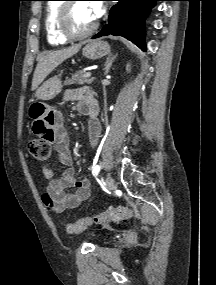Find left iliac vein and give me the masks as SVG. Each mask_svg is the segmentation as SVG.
<instances>
[{"label": "left iliac vein", "mask_w": 216, "mask_h": 285, "mask_svg": "<svg viewBox=\"0 0 216 285\" xmlns=\"http://www.w3.org/2000/svg\"><path fill=\"white\" fill-rule=\"evenodd\" d=\"M115 185H114V180L111 176H107L106 178V188L107 191H112L114 189Z\"/></svg>", "instance_id": "left-iliac-vein-1"}]
</instances>
